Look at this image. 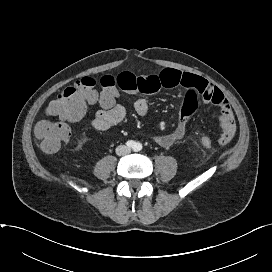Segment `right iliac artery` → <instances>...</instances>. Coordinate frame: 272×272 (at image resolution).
Instances as JSON below:
<instances>
[{"mask_svg":"<svg viewBox=\"0 0 272 272\" xmlns=\"http://www.w3.org/2000/svg\"><path fill=\"white\" fill-rule=\"evenodd\" d=\"M126 145H127L128 147L134 148V147H135V142L132 141V140H129V141L126 142Z\"/></svg>","mask_w":272,"mask_h":272,"instance_id":"right-iliac-artery-1","label":"right iliac artery"}]
</instances>
